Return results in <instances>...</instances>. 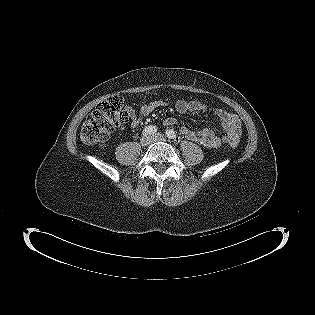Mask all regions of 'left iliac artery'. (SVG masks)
Returning <instances> with one entry per match:
<instances>
[{"instance_id":"left-iliac-artery-1","label":"left iliac artery","mask_w":315,"mask_h":315,"mask_svg":"<svg viewBox=\"0 0 315 315\" xmlns=\"http://www.w3.org/2000/svg\"><path fill=\"white\" fill-rule=\"evenodd\" d=\"M165 134L169 139H176V133L173 130H167Z\"/></svg>"}]
</instances>
